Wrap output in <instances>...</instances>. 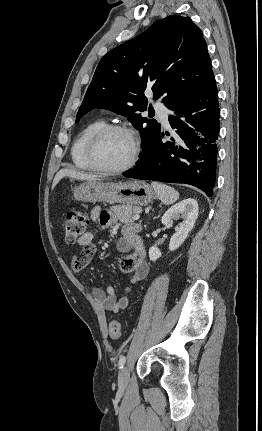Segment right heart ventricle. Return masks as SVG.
<instances>
[{
    "instance_id": "obj_1",
    "label": "right heart ventricle",
    "mask_w": 262,
    "mask_h": 431,
    "mask_svg": "<svg viewBox=\"0 0 262 431\" xmlns=\"http://www.w3.org/2000/svg\"><path fill=\"white\" fill-rule=\"evenodd\" d=\"M103 118H97L87 124L76 136L71 146V159L74 167L82 171H95L86 158V150L91 136L104 127Z\"/></svg>"
}]
</instances>
